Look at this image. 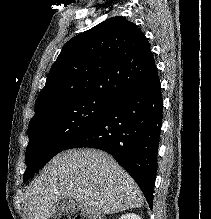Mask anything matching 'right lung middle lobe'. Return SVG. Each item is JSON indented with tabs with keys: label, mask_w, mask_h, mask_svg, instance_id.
I'll return each instance as SVG.
<instances>
[{
	"label": "right lung middle lobe",
	"mask_w": 211,
	"mask_h": 219,
	"mask_svg": "<svg viewBox=\"0 0 211 219\" xmlns=\"http://www.w3.org/2000/svg\"><path fill=\"white\" fill-rule=\"evenodd\" d=\"M112 103L100 97L78 98L61 103L50 112L32 119L28 129L24 182L90 128Z\"/></svg>",
	"instance_id": "1"
}]
</instances>
